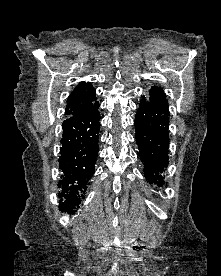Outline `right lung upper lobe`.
Segmentation results:
<instances>
[{"label": "right lung upper lobe", "instance_id": "right-lung-upper-lobe-1", "mask_svg": "<svg viewBox=\"0 0 221 276\" xmlns=\"http://www.w3.org/2000/svg\"><path fill=\"white\" fill-rule=\"evenodd\" d=\"M96 102V93L89 82H80L71 92L65 114L67 116H78L83 114Z\"/></svg>", "mask_w": 221, "mask_h": 276}]
</instances>
